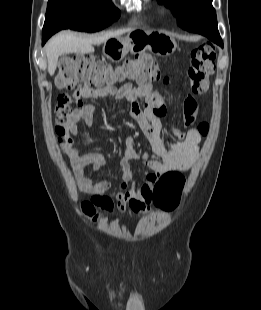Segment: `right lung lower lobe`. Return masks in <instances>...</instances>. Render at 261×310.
<instances>
[{
  "instance_id": "1",
  "label": "right lung lower lobe",
  "mask_w": 261,
  "mask_h": 310,
  "mask_svg": "<svg viewBox=\"0 0 261 310\" xmlns=\"http://www.w3.org/2000/svg\"><path fill=\"white\" fill-rule=\"evenodd\" d=\"M60 29L57 30H51V31H42V45L48 40V38L54 34L55 32L59 31Z\"/></svg>"
}]
</instances>
